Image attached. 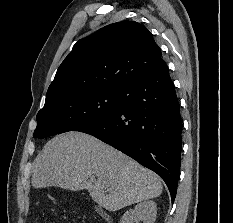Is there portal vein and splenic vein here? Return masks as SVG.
I'll return each instance as SVG.
<instances>
[{
	"mask_svg": "<svg viewBox=\"0 0 233 223\" xmlns=\"http://www.w3.org/2000/svg\"><path fill=\"white\" fill-rule=\"evenodd\" d=\"M90 179H91V181H96L95 175H91Z\"/></svg>",
	"mask_w": 233,
	"mask_h": 223,
	"instance_id": "portal-vein-and-splenic-vein-1",
	"label": "portal vein and splenic vein"
}]
</instances>
